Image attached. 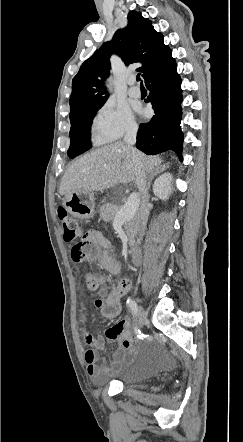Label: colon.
Segmentation results:
<instances>
[{
	"label": "colon",
	"instance_id": "colon-1",
	"mask_svg": "<svg viewBox=\"0 0 243 442\" xmlns=\"http://www.w3.org/2000/svg\"><path fill=\"white\" fill-rule=\"evenodd\" d=\"M59 219L63 228V235L66 242H74L69 244V251L71 252L72 260H81L83 258V251L86 243L83 239L82 227L76 219L68 214L65 208H59ZM100 278L94 273H87L85 276V286L91 291H96L100 287Z\"/></svg>",
	"mask_w": 243,
	"mask_h": 442
}]
</instances>
